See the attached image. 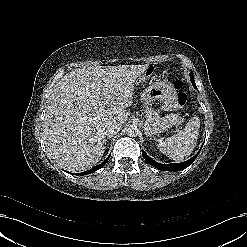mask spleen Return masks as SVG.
Returning a JSON list of instances; mask_svg holds the SVG:
<instances>
[{
    "label": "spleen",
    "instance_id": "1",
    "mask_svg": "<svg viewBox=\"0 0 247 247\" xmlns=\"http://www.w3.org/2000/svg\"><path fill=\"white\" fill-rule=\"evenodd\" d=\"M200 119L192 117L185 128L173 136L158 142L159 150L175 161H182L189 156L195 146L199 135Z\"/></svg>",
    "mask_w": 247,
    "mask_h": 247
}]
</instances>
